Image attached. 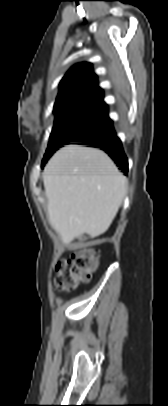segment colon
Wrapping results in <instances>:
<instances>
[{
  "label": "colon",
  "instance_id": "obj_1",
  "mask_svg": "<svg viewBox=\"0 0 168 406\" xmlns=\"http://www.w3.org/2000/svg\"><path fill=\"white\" fill-rule=\"evenodd\" d=\"M72 256L56 266L53 285L57 290L71 291L90 281L98 263L99 251L86 247L81 238L73 241Z\"/></svg>",
  "mask_w": 168,
  "mask_h": 406
}]
</instances>
